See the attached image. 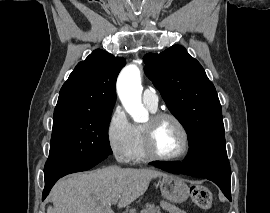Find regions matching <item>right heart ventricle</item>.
Here are the masks:
<instances>
[{"instance_id":"e07e8e85","label":"right heart ventricle","mask_w":270,"mask_h":213,"mask_svg":"<svg viewBox=\"0 0 270 213\" xmlns=\"http://www.w3.org/2000/svg\"><path fill=\"white\" fill-rule=\"evenodd\" d=\"M146 107L151 111L155 112L156 109H152L146 105ZM130 160L133 162H144L147 161L148 158L144 152L142 137H141V127L133 126V144L130 152Z\"/></svg>"}]
</instances>
